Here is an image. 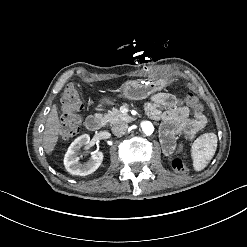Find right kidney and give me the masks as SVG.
Listing matches in <instances>:
<instances>
[{
    "label": "right kidney",
    "mask_w": 247,
    "mask_h": 247,
    "mask_svg": "<svg viewBox=\"0 0 247 247\" xmlns=\"http://www.w3.org/2000/svg\"><path fill=\"white\" fill-rule=\"evenodd\" d=\"M89 141V135L82 134L76 138L68 148L64 157V166L70 174L87 176L95 172L101 165L104 158L102 151L92 153L91 158L86 163H80L79 152L83 146L88 145Z\"/></svg>",
    "instance_id": "ca27d5eb"
}]
</instances>
